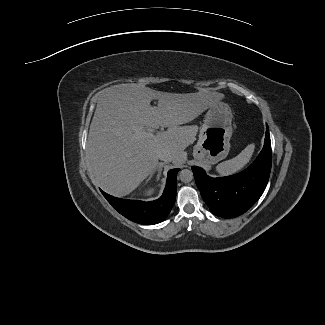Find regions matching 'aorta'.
Wrapping results in <instances>:
<instances>
[{"mask_svg":"<svg viewBox=\"0 0 325 325\" xmlns=\"http://www.w3.org/2000/svg\"><path fill=\"white\" fill-rule=\"evenodd\" d=\"M179 178L184 183H189L193 179V172L189 169H183L179 173Z\"/></svg>","mask_w":325,"mask_h":325,"instance_id":"obj_1","label":"aorta"}]
</instances>
